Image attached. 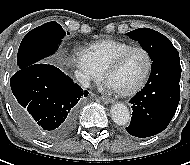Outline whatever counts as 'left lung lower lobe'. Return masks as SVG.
Masks as SVG:
<instances>
[{"label": "left lung lower lobe", "mask_w": 190, "mask_h": 165, "mask_svg": "<svg viewBox=\"0 0 190 165\" xmlns=\"http://www.w3.org/2000/svg\"><path fill=\"white\" fill-rule=\"evenodd\" d=\"M181 66L178 51L155 59L145 87L131 99L132 118L127 132L150 137L163 131L174 116L179 99Z\"/></svg>", "instance_id": "obj_1"}]
</instances>
